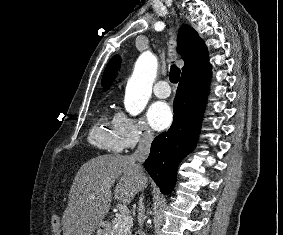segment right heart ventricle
<instances>
[{
  "instance_id": "obj_1",
  "label": "right heart ventricle",
  "mask_w": 283,
  "mask_h": 235,
  "mask_svg": "<svg viewBox=\"0 0 283 235\" xmlns=\"http://www.w3.org/2000/svg\"><path fill=\"white\" fill-rule=\"evenodd\" d=\"M89 142L107 152H121L124 142L116 122V115H111L109 111L102 114L90 130Z\"/></svg>"
}]
</instances>
